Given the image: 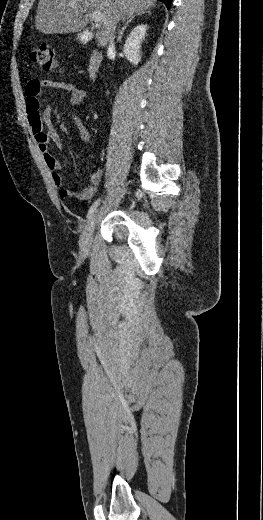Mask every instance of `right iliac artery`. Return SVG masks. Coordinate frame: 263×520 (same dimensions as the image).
Instances as JSON below:
<instances>
[{
    "instance_id": "1",
    "label": "right iliac artery",
    "mask_w": 263,
    "mask_h": 520,
    "mask_svg": "<svg viewBox=\"0 0 263 520\" xmlns=\"http://www.w3.org/2000/svg\"><path fill=\"white\" fill-rule=\"evenodd\" d=\"M100 200H101V199L99 198V199H97V200L92 204V206L90 207V209H89V211H88L87 219H90V218L92 217L93 213L95 212L97 206H98L99 203H100Z\"/></svg>"
}]
</instances>
